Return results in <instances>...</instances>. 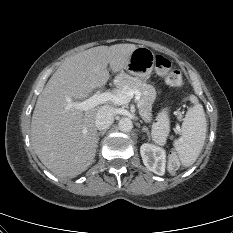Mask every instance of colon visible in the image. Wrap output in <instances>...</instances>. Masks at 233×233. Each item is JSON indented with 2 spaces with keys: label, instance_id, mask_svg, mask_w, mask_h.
<instances>
[{
  "label": "colon",
  "instance_id": "5ec220e1",
  "mask_svg": "<svg viewBox=\"0 0 233 233\" xmlns=\"http://www.w3.org/2000/svg\"><path fill=\"white\" fill-rule=\"evenodd\" d=\"M154 65L156 72L165 78L168 85L172 87H180L183 79L180 71L171 68L170 61L162 56H154ZM170 117L168 109H164L158 116L152 132L153 141L162 146L165 144L169 132ZM180 168V161L174 152L168 155L167 169L170 173H175Z\"/></svg>",
  "mask_w": 233,
  "mask_h": 233
}]
</instances>
